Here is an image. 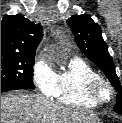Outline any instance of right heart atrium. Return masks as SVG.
I'll use <instances>...</instances> for the list:
<instances>
[{"instance_id":"1","label":"right heart atrium","mask_w":122,"mask_h":123,"mask_svg":"<svg viewBox=\"0 0 122 123\" xmlns=\"http://www.w3.org/2000/svg\"><path fill=\"white\" fill-rule=\"evenodd\" d=\"M56 73L49 58L36 57L32 67V79L37 89L45 96H51L54 89Z\"/></svg>"}]
</instances>
